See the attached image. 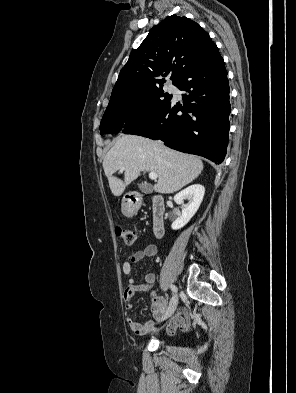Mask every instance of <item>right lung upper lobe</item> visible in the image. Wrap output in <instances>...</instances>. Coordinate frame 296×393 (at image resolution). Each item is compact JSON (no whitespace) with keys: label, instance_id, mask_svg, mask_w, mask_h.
<instances>
[{"label":"right lung upper lobe","instance_id":"obj_1","mask_svg":"<svg viewBox=\"0 0 296 393\" xmlns=\"http://www.w3.org/2000/svg\"><path fill=\"white\" fill-rule=\"evenodd\" d=\"M209 34L186 17L168 16L154 26L120 71L110 101L130 98L163 85L173 84L211 47Z\"/></svg>","mask_w":296,"mask_h":393}]
</instances>
